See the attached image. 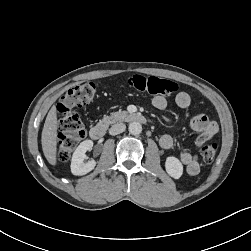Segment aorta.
<instances>
[{
  "instance_id": "1",
  "label": "aorta",
  "mask_w": 251,
  "mask_h": 251,
  "mask_svg": "<svg viewBox=\"0 0 251 251\" xmlns=\"http://www.w3.org/2000/svg\"><path fill=\"white\" fill-rule=\"evenodd\" d=\"M128 130L132 135H139L142 132V125L139 122H131Z\"/></svg>"
}]
</instances>
